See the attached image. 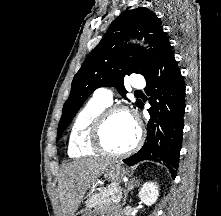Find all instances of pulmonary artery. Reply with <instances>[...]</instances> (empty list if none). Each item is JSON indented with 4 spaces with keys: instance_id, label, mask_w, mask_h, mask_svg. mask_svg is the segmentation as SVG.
<instances>
[{
    "instance_id": "obj_1",
    "label": "pulmonary artery",
    "mask_w": 221,
    "mask_h": 216,
    "mask_svg": "<svg viewBox=\"0 0 221 216\" xmlns=\"http://www.w3.org/2000/svg\"><path fill=\"white\" fill-rule=\"evenodd\" d=\"M131 85L135 89H142L145 87V80L142 77H137L132 81ZM112 96L111 89L99 88L94 92L93 99L109 106L112 103Z\"/></svg>"
}]
</instances>
